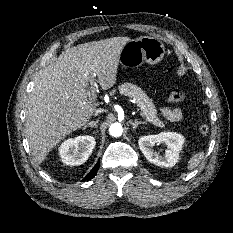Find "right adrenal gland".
Instances as JSON below:
<instances>
[{"instance_id": "2a0ac1e0", "label": "right adrenal gland", "mask_w": 233, "mask_h": 233, "mask_svg": "<svg viewBox=\"0 0 233 233\" xmlns=\"http://www.w3.org/2000/svg\"><path fill=\"white\" fill-rule=\"evenodd\" d=\"M98 122H99L98 120H97V121H90L89 123H87V124L83 127V130H85L87 127L97 128Z\"/></svg>"}]
</instances>
